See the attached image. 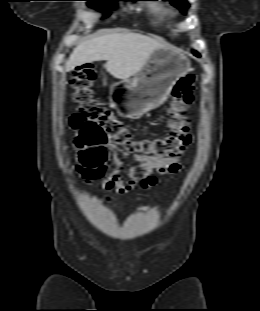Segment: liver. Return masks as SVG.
<instances>
[{
  "label": "liver",
  "instance_id": "6515ba94",
  "mask_svg": "<svg viewBox=\"0 0 260 311\" xmlns=\"http://www.w3.org/2000/svg\"><path fill=\"white\" fill-rule=\"evenodd\" d=\"M168 47L146 35L129 31L114 32L79 43L72 51L66 71L94 61H107L108 73L118 79L136 75L155 50Z\"/></svg>",
  "mask_w": 260,
  "mask_h": 311
}]
</instances>
